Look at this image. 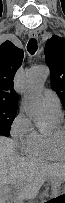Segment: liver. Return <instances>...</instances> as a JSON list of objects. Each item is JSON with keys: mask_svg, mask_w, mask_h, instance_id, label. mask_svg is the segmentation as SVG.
Listing matches in <instances>:
<instances>
[{"mask_svg": "<svg viewBox=\"0 0 65 203\" xmlns=\"http://www.w3.org/2000/svg\"><path fill=\"white\" fill-rule=\"evenodd\" d=\"M63 182L64 166L26 158L15 153L13 142L0 138V192L2 198L29 199L36 195L44 180L55 177Z\"/></svg>", "mask_w": 65, "mask_h": 203, "instance_id": "obj_1", "label": "liver"}]
</instances>
